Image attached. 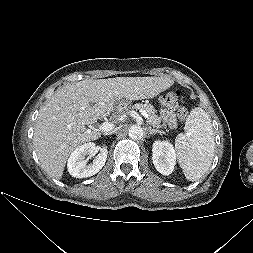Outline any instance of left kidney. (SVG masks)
<instances>
[{
  "mask_svg": "<svg viewBox=\"0 0 253 253\" xmlns=\"http://www.w3.org/2000/svg\"><path fill=\"white\" fill-rule=\"evenodd\" d=\"M153 164L158 172L169 175L176 164L175 150L168 141H155L152 148Z\"/></svg>",
  "mask_w": 253,
  "mask_h": 253,
  "instance_id": "1",
  "label": "left kidney"
}]
</instances>
